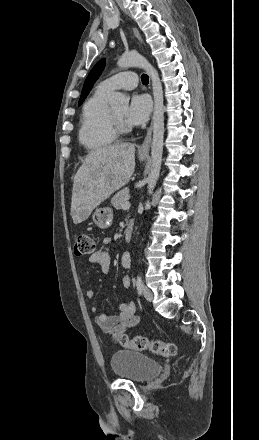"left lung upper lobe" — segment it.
<instances>
[{"mask_svg": "<svg viewBox=\"0 0 259 440\" xmlns=\"http://www.w3.org/2000/svg\"><path fill=\"white\" fill-rule=\"evenodd\" d=\"M105 63H106L105 59H101L99 62L96 63V65L90 71V73L84 83L83 89H82V94H81V97L79 100V106L85 100V98L89 94L93 84L96 82V80L101 75L102 71L104 70Z\"/></svg>", "mask_w": 259, "mask_h": 440, "instance_id": "1", "label": "left lung upper lobe"}]
</instances>
